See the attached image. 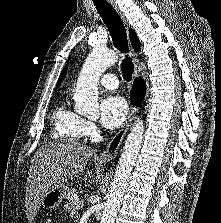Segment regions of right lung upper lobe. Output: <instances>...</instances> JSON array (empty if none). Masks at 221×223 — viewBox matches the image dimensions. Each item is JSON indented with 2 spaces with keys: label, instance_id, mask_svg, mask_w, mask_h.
I'll use <instances>...</instances> for the list:
<instances>
[{
  "label": "right lung upper lobe",
  "instance_id": "obj_1",
  "mask_svg": "<svg viewBox=\"0 0 221 223\" xmlns=\"http://www.w3.org/2000/svg\"><path fill=\"white\" fill-rule=\"evenodd\" d=\"M129 37H130V41H131V44H132L134 50L136 52H138L140 49V41L133 29L129 30ZM66 70H67V68L65 67L59 77L57 85H60V83L62 82L64 76L66 75Z\"/></svg>",
  "mask_w": 221,
  "mask_h": 223
}]
</instances>
